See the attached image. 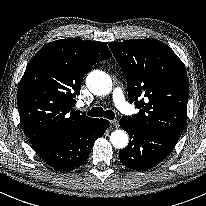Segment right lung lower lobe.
Returning <instances> with one entry per match:
<instances>
[{"instance_id": "1", "label": "right lung lower lobe", "mask_w": 206, "mask_h": 206, "mask_svg": "<svg viewBox=\"0 0 206 206\" xmlns=\"http://www.w3.org/2000/svg\"><path fill=\"white\" fill-rule=\"evenodd\" d=\"M105 119H94L75 134L50 143L33 146L48 165L59 171H70L82 165L89 157L97 138L106 131Z\"/></svg>"}]
</instances>
